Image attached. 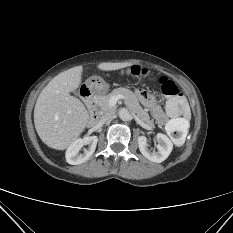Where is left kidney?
Returning <instances> with one entry per match:
<instances>
[{
  "instance_id": "1",
  "label": "left kidney",
  "mask_w": 233,
  "mask_h": 233,
  "mask_svg": "<svg viewBox=\"0 0 233 233\" xmlns=\"http://www.w3.org/2000/svg\"><path fill=\"white\" fill-rule=\"evenodd\" d=\"M156 138L159 142V144L157 145V151L154 150L151 152L148 149V144L145 136L138 137V146L142 155L146 157L148 160L152 162L161 163L164 160H166L167 157L170 155L173 149V144L171 140L162 133H158L156 135Z\"/></svg>"
}]
</instances>
